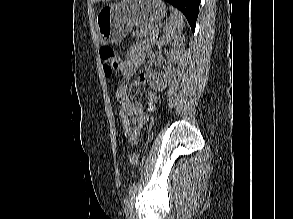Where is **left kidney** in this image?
<instances>
[{
  "label": "left kidney",
  "mask_w": 293,
  "mask_h": 219,
  "mask_svg": "<svg viewBox=\"0 0 293 219\" xmlns=\"http://www.w3.org/2000/svg\"><path fill=\"white\" fill-rule=\"evenodd\" d=\"M166 42H172V48L169 50V60L166 64V67L164 68V71L161 73V75L157 76L153 73L151 68L147 70V80L149 85L156 91L164 90L167 87V84L171 81L172 66L179 61L185 46L181 37L171 35L162 36L156 42V44L158 46H162Z\"/></svg>",
  "instance_id": "left-kidney-1"
}]
</instances>
